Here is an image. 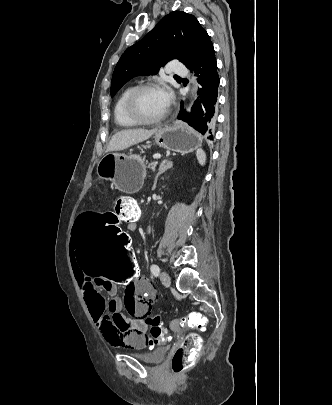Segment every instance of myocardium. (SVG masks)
Wrapping results in <instances>:
<instances>
[{"label":"myocardium","instance_id":"1","mask_svg":"<svg viewBox=\"0 0 332 405\" xmlns=\"http://www.w3.org/2000/svg\"><path fill=\"white\" fill-rule=\"evenodd\" d=\"M147 90H161L160 86L155 84V83H144L139 86L134 87L130 93L127 95L125 102H124V112L126 116L131 119L133 122L136 124H141V125H148V124H155L163 121L167 116L170 114V109L168 110L161 116L152 118V119H146L141 117L137 110H136V100L138 96Z\"/></svg>","mask_w":332,"mask_h":405}]
</instances>
